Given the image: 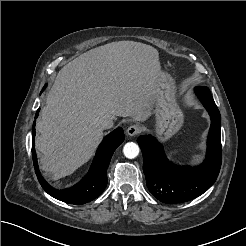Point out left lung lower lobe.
I'll return each mask as SVG.
<instances>
[{
    "label": "left lung lower lobe",
    "mask_w": 246,
    "mask_h": 246,
    "mask_svg": "<svg viewBox=\"0 0 246 246\" xmlns=\"http://www.w3.org/2000/svg\"><path fill=\"white\" fill-rule=\"evenodd\" d=\"M195 93L211 118L206 159L200 166L174 165L154 137L143 135L137 139L143 154L147 187L164 203H182L200 196L214 184L220 171L221 116L208 87H195Z\"/></svg>",
    "instance_id": "0a47b994"
}]
</instances>
